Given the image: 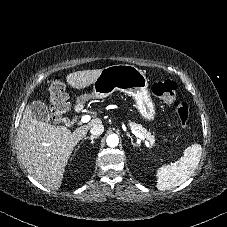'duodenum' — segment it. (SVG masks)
<instances>
[{"mask_svg": "<svg viewBox=\"0 0 227 227\" xmlns=\"http://www.w3.org/2000/svg\"><path fill=\"white\" fill-rule=\"evenodd\" d=\"M74 108L79 111L80 110V106L79 105H75Z\"/></svg>", "mask_w": 227, "mask_h": 227, "instance_id": "410a0bca", "label": "duodenum"}]
</instances>
